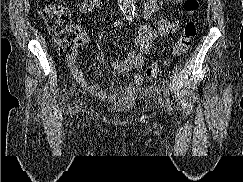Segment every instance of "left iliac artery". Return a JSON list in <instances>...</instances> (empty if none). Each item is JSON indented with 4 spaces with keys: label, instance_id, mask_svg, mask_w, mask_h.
Instances as JSON below:
<instances>
[{
    "label": "left iliac artery",
    "instance_id": "obj_1",
    "mask_svg": "<svg viewBox=\"0 0 243 182\" xmlns=\"http://www.w3.org/2000/svg\"><path fill=\"white\" fill-rule=\"evenodd\" d=\"M163 94H164V97H165V99H166V107H167L169 113H171V111H172V106H171V102H170V98H169L168 92H167V91H164Z\"/></svg>",
    "mask_w": 243,
    "mask_h": 182
}]
</instances>
